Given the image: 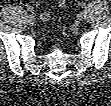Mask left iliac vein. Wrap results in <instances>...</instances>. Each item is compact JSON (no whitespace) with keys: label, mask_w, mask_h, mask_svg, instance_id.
Masks as SVG:
<instances>
[{"label":"left iliac vein","mask_w":111,"mask_h":106,"mask_svg":"<svg viewBox=\"0 0 111 106\" xmlns=\"http://www.w3.org/2000/svg\"><path fill=\"white\" fill-rule=\"evenodd\" d=\"M84 17H85V15H84V13H82V12L77 15V19H78L79 21L83 20Z\"/></svg>","instance_id":"1"}]
</instances>
